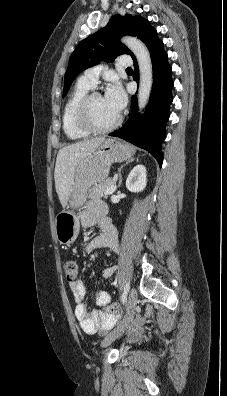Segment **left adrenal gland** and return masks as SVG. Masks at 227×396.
Returning a JSON list of instances; mask_svg holds the SVG:
<instances>
[{
    "label": "left adrenal gland",
    "instance_id": "a2214340",
    "mask_svg": "<svg viewBox=\"0 0 227 396\" xmlns=\"http://www.w3.org/2000/svg\"><path fill=\"white\" fill-rule=\"evenodd\" d=\"M134 161V158H131V159H129L125 164H123L120 168H119V170H118V187H120L121 186V184H122V175H121V170H122V168L124 167V166H126L127 164H129V163H131V162H133Z\"/></svg>",
    "mask_w": 227,
    "mask_h": 396
}]
</instances>
